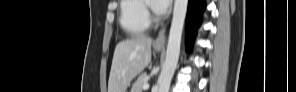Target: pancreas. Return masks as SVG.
<instances>
[{"instance_id": "1", "label": "pancreas", "mask_w": 296, "mask_h": 92, "mask_svg": "<svg viewBox=\"0 0 296 92\" xmlns=\"http://www.w3.org/2000/svg\"><path fill=\"white\" fill-rule=\"evenodd\" d=\"M147 83V75L141 74L132 86L131 92H143V85Z\"/></svg>"}]
</instances>
